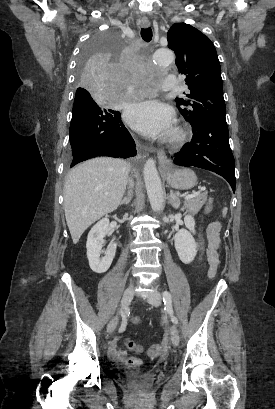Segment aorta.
<instances>
[{"label": "aorta", "mask_w": 275, "mask_h": 409, "mask_svg": "<svg viewBox=\"0 0 275 409\" xmlns=\"http://www.w3.org/2000/svg\"><path fill=\"white\" fill-rule=\"evenodd\" d=\"M148 57L152 65L170 64L174 60L172 50H167V48H160V51H149ZM143 172L150 205L153 211H160L163 205V190L161 178L153 158L146 160Z\"/></svg>", "instance_id": "obj_1"}]
</instances>
